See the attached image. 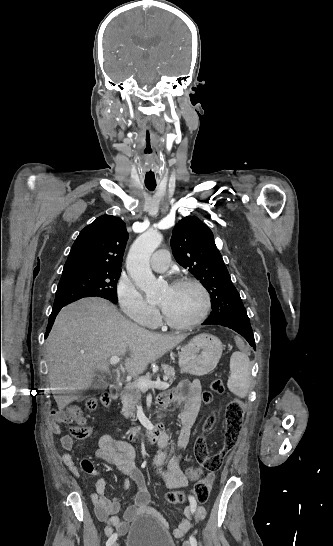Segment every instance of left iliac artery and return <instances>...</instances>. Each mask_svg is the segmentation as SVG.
<instances>
[{
  "instance_id": "obj_1",
  "label": "left iliac artery",
  "mask_w": 333,
  "mask_h": 546,
  "mask_svg": "<svg viewBox=\"0 0 333 546\" xmlns=\"http://www.w3.org/2000/svg\"><path fill=\"white\" fill-rule=\"evenodd\" d=\"M189 541H190V543H191L192 546H197V541H196V539H195L194 536L191 535V536L189 537Z\"/></svg>"
}]
</instances>
